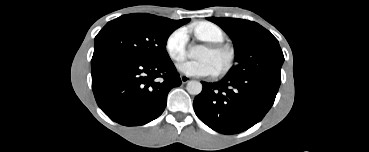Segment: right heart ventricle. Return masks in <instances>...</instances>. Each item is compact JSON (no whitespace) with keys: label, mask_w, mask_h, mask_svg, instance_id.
Returning <instances> with one entry per match:
<instances>
[{"label":"right heart ventricle","mask_w":369,"mask_h":152,"mask_svg":"<svg viewBox=\"0 0 369 152\" xmlns=\"http://www.w3.org/2000/svg\"><path fill=\"white\" fill-rule=\"evenodd\" d=\"M191 31L196 37L209 43H220L225 39L223 30L218 25L208 21L195 23L191 26Z\"/></svg>","instance_id":"obj_1"}]
</instances>
